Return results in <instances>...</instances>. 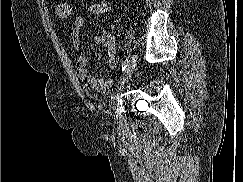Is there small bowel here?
Instances as JSON below:
<instances>
[{"mask_svg":"<svg viewBox=\"0 0 243 182\" xmlns=\"http://www.w3.org/2000/svg\"><path fill=\"white\" fill-rule=\"evenodd\" d=\"M108 11V3L104 0L91 3L87 8V13L90 15H100ZM85 25V16L78 15L74 20L71 41L73 49L77 54L75 71L77 77L89 88L105 91L109 89L114 79L111 77H97L88 71V59L82 49V30ZM95 45H103L106 48L108 55V66L111 70L116 69V45L115 40L111 35H100L94 39Z\"/></svg>","mask_w":243,"mask_h":182,"instance_id":"1","label":"small bowel"}]
</instances>
